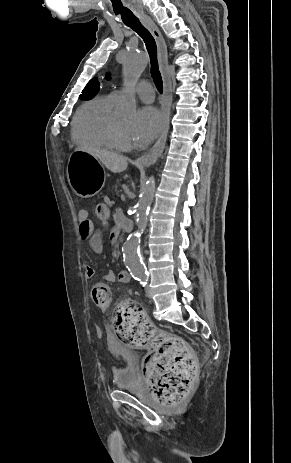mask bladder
<instances>
[{"mask_svg":"<svg viewBox=\"0 0 291 463\" xmlns=\"http://www.w3.org/2000/svg\"><path fill=\"white\" fill-rule=\"evenodd\" d=\"M116 358L121 363L116 372L115 381L120 389H133L138 386L139 379L136 372L135 361L132 352L125 350L116 353Z\"/></svg>","mask_w":291,"mask_h":463,"instance_id":"obj_1","label":"bladder"}]
</instances>
